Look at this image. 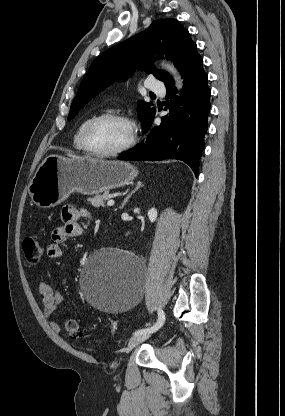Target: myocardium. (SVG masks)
<instances>
[{
	"instance_id": "f54148a6",
	"label": "myocardium",
	"mask_w": 285,
	"mask_h": 416,
	"mask_svg": "<svg viewBox=\"0 0 285 416\" xmlns=\"http://www.w3.org/2000/svg\"><path fill=\"white\" fill-rule=\"evenodd\" d=\"M103 119H113L116 120L120 123H122L123 125H125V127L127 128L128 131V138L126 140V142L118 149L115 150H110V151H102V150H98L95 149L91 146L90 142H89V138H88V132L90 127ZM134 129H133V124L132 122L124 115L120 114V113H115V112H104V113H99L96 114L92 117H90L83 129H82V133H81V142L82 145L84 147V149L86 150V152H88L91 155L94 156H98V157H116V156H120L122 154H124L126 151H128L133 143H134Z\"/></svg>"
}]
</instances>
